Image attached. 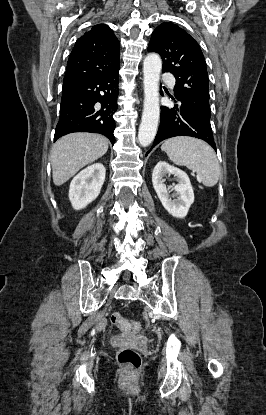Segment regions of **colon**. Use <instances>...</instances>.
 I'll return each instance as SVG.
<instances>
[{"instance_id":"colon-1","label":"colon","mask_w":266,"mask_h":415,"mask_svg":"<svg viewBox=\"0 0 266 415\" xmlns=\"http://www.w3.org/2000/svg\"><path fill=\"white\" fill-rule=\"evenodd\" d=\"M110 320L123 333L134 334L140 330V323L138 321L128 320L118 312L111 314ZM117 360L120 366L129 372H135L141 366L140 354L129 347H121L118 349Z\"/></svg>"}]
</instances>
